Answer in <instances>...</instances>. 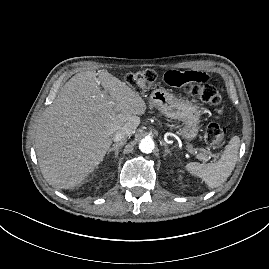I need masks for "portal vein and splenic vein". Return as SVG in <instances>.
Wrapping results in <instances>:
<instances>
[{
	"instance_id": "portal-vein-and-splenic-vein-1",
	"label": "portal vein and splenic vein",
	"mask_w": 269,
	"mask_h": 269,
	"mask_svg": "<svg viewBox=\"0 0 269 269\" xmlns=\"http://www.w3.org/2000/svg\"><path fill=\"white\" fill-rule=\"evenodd\" d=\"M188 151L191 153V154H196L197 152H194L193 150L191 149H188Z\"/></svg>"
}]
</instances>
